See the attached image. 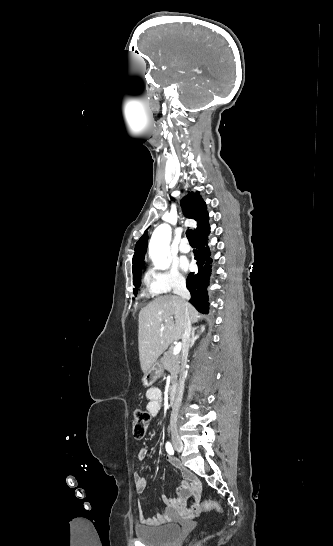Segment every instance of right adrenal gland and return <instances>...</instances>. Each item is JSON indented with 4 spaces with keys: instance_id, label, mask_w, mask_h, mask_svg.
<instances>
[{
    "instance_id": "obj_1",
    "label": "right adrenal gland",
    "mask_w": 333,
    "mask_h": 546,
    "mask_svg": "<svg viewBox=\"0 0 333 546\" xmlns=\"http://www.w3.org/2000/svg\"><path fill=\"white\" fill-rule=\"evenodd\" d=\"M200 328L198 334L195 335V331ZM205 332V326L204 325H201V326H197V327H193L192 328V332H191V339H190V344H189V347H193L194 346V343L197 339L200 338L201 334Z\"/></svg>"
}]
</instances>
